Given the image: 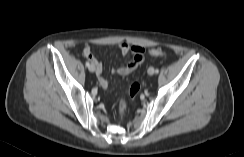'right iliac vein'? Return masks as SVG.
I'll list each match as a JSON object with an SVG mask.
<instances>
[{"label": "right iliac vein", "mask_w": 244, "mask_h": 157, "mask_svg": "<svg viewBox=\"0 0 244 157\" xmlns=\"http://www.w3.org/2000/svg\"><path fill=\"white\" fill-rule=\"evenodd\" d=\"M89 71H90V72H95V68H94L93 65H90V66H89Z\"/></svg>", "instance_id": "1"}]
</instances>
